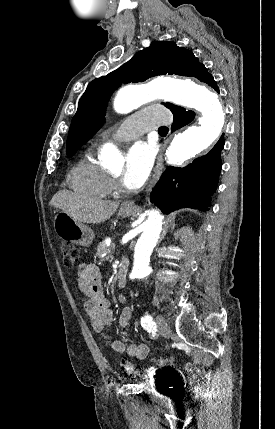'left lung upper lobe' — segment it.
I'll list each match as a JSON object with an SVG mask.
<instances>
[{
	"mask_svg": "<svg viewBox=\"0 0 275 429\" xmlns=\"http://www.w3.org/2000/svg\"><path fill=\"white\" fill-rule=\"evenodd\" d=\"M203 66L191 50L171 41H155L117 70L94 79L82 95L72 119L67 138V155L72 156L99 130L103 124L107 101L122 83L145 81L165 74L197 78ZM164 105L170 110L175 107L170 103Z\"/></svg>",
	"mask_w": 275,
	"mask_h": 429,
	"instance_id": "left-lung-upper-lobe-1",
	"label": "left lung upper lobe"
}]
</instances>
